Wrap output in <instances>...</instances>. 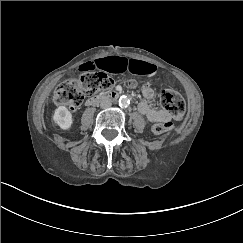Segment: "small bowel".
<instances>
[{"instance_id": "1", "label": "small bowel", "mask_w": 243, "mask_h": 243, "mask_svg": "<svg viewBox=\"0 0 243 243\" xmlns=\"http://www.w3.org/2000/svg\"><path fill=\"white\" fill-rule=\"evenodd\" d=\"M79 70L81 72L99 70L114 74L130 72L137 75H150L156 72V67L152 63L142 60L122 56H110L86 62L79 67ZM142 92L145 100L138 105L140 113L145 115L151 122L165 121L167 116L162 111L154 109L149 103L154 98L153 89L149 85H145Z\"/></svg>"}]
</instances>
